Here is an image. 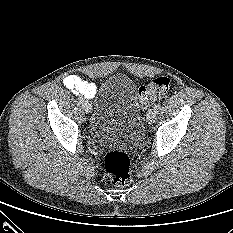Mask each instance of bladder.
Wrapping results in <instances>:
<instances>
[{"instance_id":"1","label":"bladder","mask_w":233,"mask_h":233,"mask_svg":"<svg viewBox=\"0 0 233 233\" xmlns=\"http://www.w3.org/2000/svg\"><path fill=\"white\" fill-rule=\"evenodd\" d=\"M91 132L99 145L137 144L142 136L137 90L124 74L110 77L95 101L90 123Z\"/></svg>"}]
</instances>
